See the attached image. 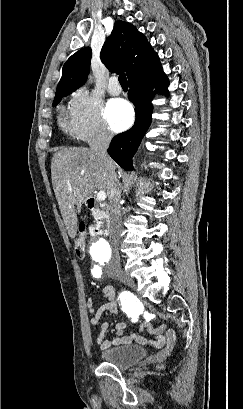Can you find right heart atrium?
Returning <instances> with one entry per match:
<instances>
[{
  "label": "right heart atrium",
  "instance_id": "d8ad5b80",
  "mask_svg": "<svg viewBox=\"0 0 243 409\" xmlns=\"http://www.w3.org/2000/svg\"><path fill=\"white\" fill-rule=\"evenodd\" d=\"M68 119L69 132L81 141L108 142L112 138L102 118L100 103L85 90L72 95Z\"/></svg>",
  "mask_w": 243,
  "mask_h": 409
}]
</instances>
